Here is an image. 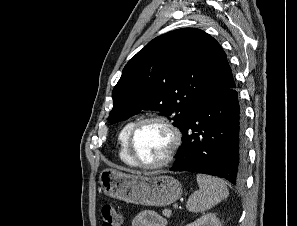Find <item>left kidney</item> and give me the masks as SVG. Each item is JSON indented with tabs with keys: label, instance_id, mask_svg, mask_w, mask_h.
<instances>
[{
	"label": "left kidney",
	"instance_id": "1",
	"mask_svg": "<svg viewBox=\"0 0 297 226\" xmlns=\"http://www.w3.org/2000/svg\"><path fill=\"white\" fill-rule=\"evenodd\" d=\"M186 226H221V223L216 214L207 213Z\"/></svg>",
	"mask_w": 297,
	"mask_h": 226
}]
</instances>
